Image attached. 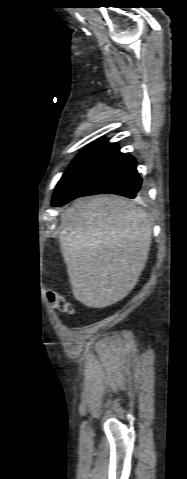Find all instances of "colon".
<instances>
[{
    "instance_id": "5ec220e1",
    "label": "colon",
    "mask_w": 187,
    "mask_h": 479,
    "mask_svg": "<svg viewBox=\"0 0 187 479\" xmlns=\"http://www.w3.org/2000/svg\"><path fill=\"white\" fill-rule=\"evenodd\" d=\"M47 298L51 304L55 307L56 310H58L61 313L65 314H73L74 313V308L65 296L60 295L56 292L49 291L47 293Z\"/></svg>"
}]
</instances>
